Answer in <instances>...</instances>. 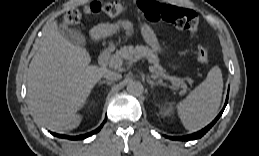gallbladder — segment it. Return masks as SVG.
<instances>
[{
    "mask_svg": "<svg viewBox=\"0 0 259 156\" xmlns=\"http://www.w3.org/2000/svg\"><path fill=\"white\" fill-rule=\"evenodd\" d=\"M62 34L64 37L73 44L84 46L86 44V38L77 29H71L62 27Z\"/></svg>",
    "mask_w": 259,
    "mask_h": 156,
    "instance_id": "bac80fb5",
    "label": "gallbladder"
}]
</instances>
